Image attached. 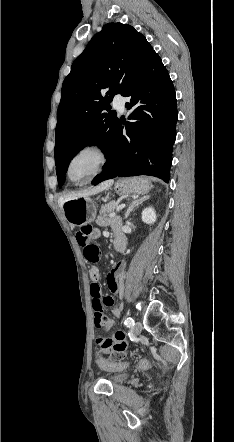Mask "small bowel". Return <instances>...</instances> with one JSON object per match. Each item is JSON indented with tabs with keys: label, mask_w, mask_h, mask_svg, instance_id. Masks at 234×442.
<instances>
[{
	"label": "small bowel",
	"mask_w": 234,
	"mask_h": 442,
	"mask_svg": "<svg viewBox=\"0 0 234 442\" xmlns=\"http://www.w3.org/2000/svg\"><path fill=\"white\" fill-rule=\"evenodd\" d=\"M98 223L100 225L109 224L115 231L116 237L120 236L125 241L123 234L120 232L121 221L118 218H113L110 220L104 219L102 217L98 218ZM100 232L94 230L92 238L99 237ZM126 245V241H125ZM124 281H125V263L119 262L107 275V285L112 294L118 298H122L124 295ZM93 284H91L92 289ZM109 303L108 306H113L112 315L119 316L122 311V304L115 302L112 297H107ZM114 322L110 319L108 314H96L94 317V327L96 328V343L101 347L102 351L106 353H111L113 359L122 360L126 357L125 353H131L134 350L132 345H128L126 341L125 334L122 331H117L111 334L110 337L106 338L104 333L113 326ZM126 349V350H125ZM101 359H105L101 356ZM98 359V357L96 358ZM143 362V361H142Z\"/></svg>",
	"instance_id": "c3829d8e"
}]
</instances>
